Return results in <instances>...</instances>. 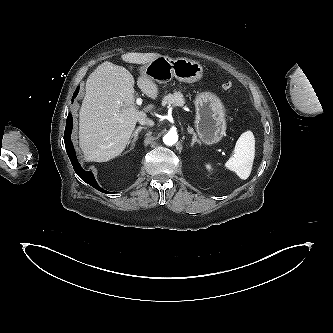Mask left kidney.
Segmentation results:
<instances>
[{"label":"left kidney","mask_w":333,"mask_h":333,"mask_svg":"<svg viewBox=\"0 0 333 333\" xmlns=\"http://www.w3.org/2000/svg\"><path fill=\"white\" fill-rule=\"evenodd\" d=\"M206 168H207L208 170H210V169H211V166H210L209 164H207V165H206Z\"/></svg>","instance_id":"5707ae66"}]
</instances>
